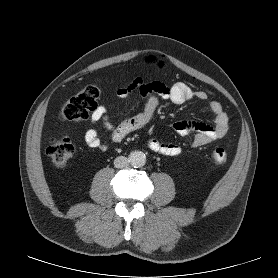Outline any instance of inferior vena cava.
<instances>
[{"mask_svg": "<svg viewBox=\"0 0 278 278\" xmlns=\"http://www.w3.org/2000/svg\"><path fill=\"white\" fill-rule=\"evenodd\" d=\"M128 163H129L128 158H126L124 156H118L114 160V165L116 168H124L128 165Z\"/></svg>", "mask_w": 278, "mask_h": 278, "instance_id": "obj_1", "label": "inferior vena cava"}]
</instances>
